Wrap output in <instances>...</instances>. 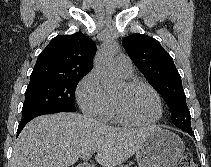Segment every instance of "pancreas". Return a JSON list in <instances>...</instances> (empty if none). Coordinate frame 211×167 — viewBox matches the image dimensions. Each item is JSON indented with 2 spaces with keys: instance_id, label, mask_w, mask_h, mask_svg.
I'll use <instances>...</instances> for the list:
<instances>
[{
  "instance_id": "1",
  "label": "pancreas",
  "mask_w": 211,
  "mask_h": 167,
  "mask_svg": "<svg viewBox=\"0 0 211 167\" xmlns=\"http://www.w3.org/2000/svg\"><path fill=\"white\" fill-rule=\"evenodd\" d=\"M120 167H130V166H128V165H121Z\"/></svg>"
}]
</instances>
